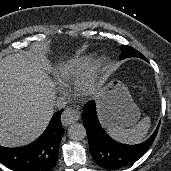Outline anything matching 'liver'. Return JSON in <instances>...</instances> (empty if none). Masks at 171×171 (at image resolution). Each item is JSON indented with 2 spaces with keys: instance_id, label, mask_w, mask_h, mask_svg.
<instances>
[{
  "instance_id": "6515ba94",
  "label": "liver",
  "mask_w": 171,
  "mask_h": 171,
  "mask_svg": "<svg viewBox=\"0 0 171 171\" xmlns=\"http://www.w3.org/2000/svg\"><path fill=\"white\" fill-rule=\"evenodd\" d=\"M55 92L42 65L21 54L0 61V145L20 147L37 139L53 113ZM102 102H99L101 115Z\"/></svg>"
}]
</instances>
